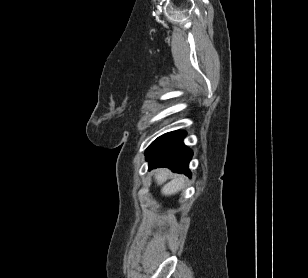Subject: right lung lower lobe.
<instances>
[{"label":"right lung lower lobe","instance_id":"right-lung-lower-lobe-1","mask_svg":"<svg viewBox=\"0 0 308 278\" xmlns=\"http://www.w3.org/2000/svg\"><path fill=\"white\" fill-rule=\"evenodd\" d=\"M185 136V131H173L152 142L145 152L147 161H150L149 169L168 167L173 172L190 176L188 167L193 153L183 143Z\"/></svg>","mask_w":308,"mask_h":278}]
</instances>
